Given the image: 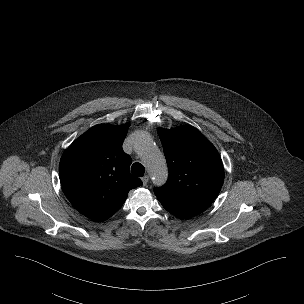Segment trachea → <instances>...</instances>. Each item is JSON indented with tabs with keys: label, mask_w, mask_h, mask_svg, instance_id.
Instances as JSON below:
<instances>
[{
	"label": "trachea",
	"mask_w": 304,
	"mask_h": 304,
	"mask_svg": "<svg viewBox=\"0 0 304 304\" xmlns=\"http://www.w3.org/2000/svg\"><path fill=\"white\" fill-rule=\"evenodd\" d=\"M131 172L138 177H142L144 175L145 168L142 164L136 162L132 165Z\"/></svg>",
	"instance_id": "1"
}]
</instances>
